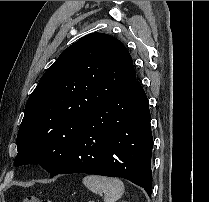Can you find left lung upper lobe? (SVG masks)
<instances>
[{
    "instance_id": "5c2ea615",
    "label": "left lung upper lobe",
    "mask_w": 209,
    "mask_h": 202,
    "mask_svg": "<svg viewBox=\"0 0 209 202\" xmlns=\"http://www.w3.org/2000/svg\"><path fill=\"white\" fill-rule=\"evenodd\" d=\"M135 81L128 50L108 34L91 33L66 48L26 103L15 165L40 164L54 176L87 115Z\"/></svg>"
}]
</instances>
